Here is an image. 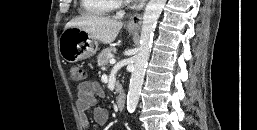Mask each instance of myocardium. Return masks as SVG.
Listing matches in <instances>:
<instances>
[{
    "instance_id": "1",
    "label": "myocardium",
    "mask_w": 257,
    "mask_h": 130,
    "mask_svg": "<svg viewBox=\"0 0 257 130\" xmlns=\"http://www.w3.org/2000/svg\"><path fill=\"white\" fill-rule=\"evenodd\" d=\"M117 7L127 5L130 0H113Z\"/></svg>"
}]
</instances>
